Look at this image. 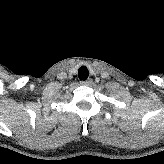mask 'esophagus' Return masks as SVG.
I'll return each instance as SVG.
<instances>
[{"mask_svg": "<svg viewBox=\"0 0 164 164\" xmlns=\"http://www.w3.org/2000/svg\"><path fill=\"white\" fill-rule=\"evenodd\" d=\"M92 82L93 81L91 79H89V80H86V81H81V84L89 86V85L92 84Z\"/></svg>", "mask_w": 164, "mask_h": 164, "instance_id": "esophagus-1", "label": "esophagus"}]
</instances>
